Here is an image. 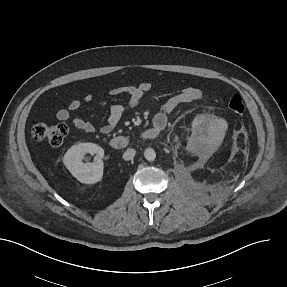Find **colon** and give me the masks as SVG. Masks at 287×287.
<instances>
[{
	"label": "colon",
	"instance_id": "5ec220e1",
	"mask_svg": "<svg viewBox=\"0 0 287 287\" xmlns=\"http://www.w3.org/2000/svg\"><path fill=\"white\" fill-rule=\"evenodd\" d=\"M228 107L231 112L241 115L244 111V103L239 94L231 97ZM68 129L64 124L36 123L32 126L31 134L36 141H45L51 146H59L64 141Z\"/></svg>",
	"mask_w": 287,
	"mask_h": 287
}]
</instances>
